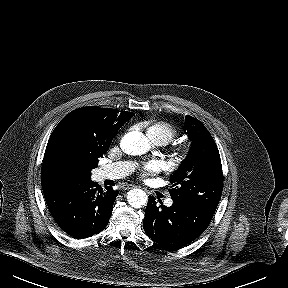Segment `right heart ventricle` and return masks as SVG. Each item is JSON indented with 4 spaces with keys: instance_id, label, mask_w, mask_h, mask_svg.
<instances>
[{
    "instance_id": "obj_1",
    "label": "right heart ventricle",
    "mask_w": 288,
    "mask_h": 288,
    "mask_svg": "<svg viewBox=\"0 0 288 288\" xmlns=\"http://www.w3.org/2000/svg\"><path fill=\"white\" fill-rule=\"evenodd\" d=\"M147 136L152 142L164 144L175 138L179 131L175 125L167 121H155L147 124Z\"/></svg>"
}]
</instances>
